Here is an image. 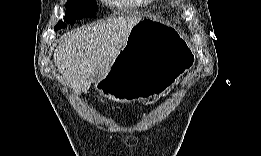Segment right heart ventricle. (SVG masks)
Here are the masks:
<instances>
[{
	"label": "right heart ventricle",
	"mask_w": 261,
	"mask_h": 156,
	"mask_svg": "<svg viewBox=\"0 0 261 156\" xmlns=\"http://www.w3.org/2000/svg\"><path fill=\"white\" fill-rule=\"evenodd\" d=\"M112 4L118 5V6H128L129 4H131L130 0H116V1H112Z\"/></svg>",
	"instance_id": "e07e8e85"
}]
</instances>
